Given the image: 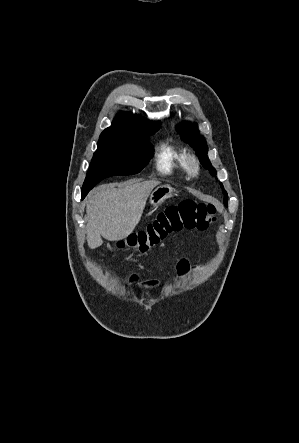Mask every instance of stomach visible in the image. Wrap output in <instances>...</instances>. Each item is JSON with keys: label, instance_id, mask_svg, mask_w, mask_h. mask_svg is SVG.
I'll list each match as a JSON object with an SVG mask.
<instances>
[{"label": "stomach", "instance_id": "obj_1", "mask_svg": "<svg viewBox=\"0 0 299 443\" xmlns=\"http://www.w3.org/2000/svg\"><path fill=\"white\" fill-rule=\"evenodd\" d=\"M174 193V188L170 185H160L155 188L149 197V203L152 209L158 208L166 199L171 198Z\"/></svg>", "mask_w": 299, "mask_h": 443}]
</instances>
